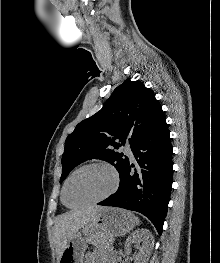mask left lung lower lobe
Instances as JSON below:
<instances>
[{"label":"left lung lower lobe","instance_id":"1","mask_svg":"<svg viewBox=\"0 0 220 263\" xmlns=\"http://www.w3.org/2000/svg\"><path fill=\"white\" fill-rule=\"evenodd\" d=\"M135 172L129 160L120 174L117 192L98 205L115 206L142 213L162 233L172 187V145L163 117L133 147Z\"/></svg>","mask_w":220,"mask_h":263}]
</instances>
